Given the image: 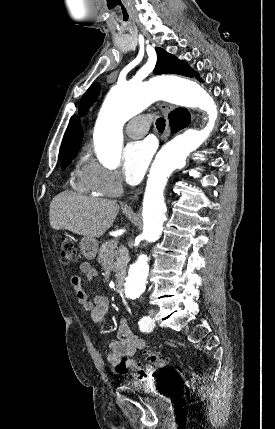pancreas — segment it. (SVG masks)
<instances>
[{
  "label": "pancreas",
  "instance_id": "cf45deb5",
  "mask_svg": "<svg viewBox=\"0 0 275 429\" xmlns=\"http://www.w3.org/2000/svg\"><path fill=\"white\" fill-rule=\"evenodd\" d=\"M117 243L113 240L107 241L98 251V262L110 271H119L126 264L124 250L117 251Z\"/></svg>",
  "mask_w": 275,
  "mask_h": 429
}]
</instances>
